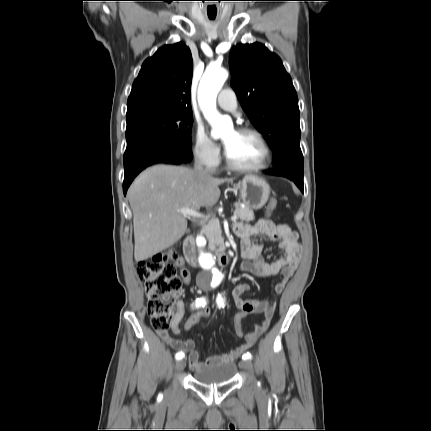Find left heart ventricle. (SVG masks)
Here are the masks:
<instances>
[{
	"instance_id": "b2bd125f",
	"label": "left heart ventricle",
	"mask_w": 431,
	"mask_h": 431,
	"mask_svg": "<svg viewBox=\"0 0 431 431\" xmlns=\"http://www.w3.org/2000/svg\"><path fill=\"white\" fill-rule=\"evenodd\" d=\"M224 142L230 159L238 165L254 166L263 160V147L253 135L232 130L225 134Z\"/></svg>"
}]
</instances>
